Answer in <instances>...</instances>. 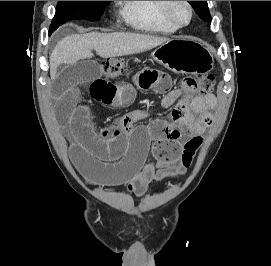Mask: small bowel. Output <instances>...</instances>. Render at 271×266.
Instances as JSON below:
<instances>
[{
  "instance_id": "1",
  "label": "small bowel",
  "mask_w": 271,
  "mask_h": 266,
  "mask_svg": "<svg viewBox=\"0 0 271 266\" xmlns=\"http://www.w3.org/2000/svg\"><path fill=\"white\" fill-rule=\"evenodd\" d=\"M53 74L55 112L69 129L72 163L93 185H126L130 193L142 196L154 181L179 178L184 173L179 157L182 138L200 133L212 123L214 95L192 97L171 89L169 75L153 66L139 68L132 83L104 78L92 60L58 65ZM82 85L93 100L114 107L129 105L135 87L164 93L161 106L173 108L171 120L136 127L147 116L146 111L137 110L97 129L91 123L89 107L80 103ZM149 152L154 161L147 159Z\"/></svg>"
}]
</instances>
